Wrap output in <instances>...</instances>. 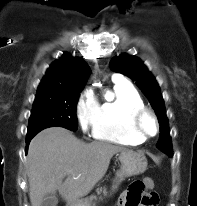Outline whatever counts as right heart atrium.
I'll list each match as a JSON object with an SVG mask.
<instances>
[{
	"label": "right heart atrium",
	"instance_id": "obj_1",
	"mask_svg": "<svg viewBox=\"0 0 197 206\" xmlns=\"http://www.w3.org/2000/svg\"><path fill=\"white\" fill-rule=\"evenodd\" d=\"M98 103L91 90H86L76 106V116L82 131L85 133L93 126L97 113Z\"/></svg>",
	"mask_w": 197,
	"mask_h": 206
}]
</instances>
